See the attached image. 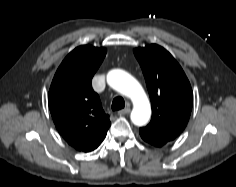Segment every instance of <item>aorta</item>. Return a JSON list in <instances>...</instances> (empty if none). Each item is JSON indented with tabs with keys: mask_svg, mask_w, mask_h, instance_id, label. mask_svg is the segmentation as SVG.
<instances>
[{
	"mask_svg": "<svg viewBox=\"0 0 236 187\" xmlns=\"http://www.w3.org/2000/svg\"><path fill=\"white\" fill-rule=\"evenodd\" d=\"M107 83L111 88L133 102L132 122L138 126L146 124L151 116V107L147 95L139 82L127 72L115 69L108 73Z\"/></svg>",
	"mask_w": 236,
	"mask_h": 187,
	"instance_id": "762f6f07",
	"label": "aorta"
}]
</instances>
